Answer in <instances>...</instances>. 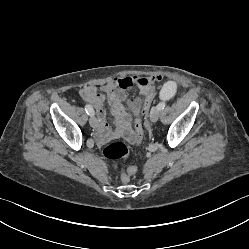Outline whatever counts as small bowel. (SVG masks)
Wrapping results in <instances>:
<instances>
[{"instance_id":"small-bowel-1","label":"small bowel","mask_w":249,"mask_h":249,"mask_svg":"<svg viewBox=\"0 0 249 249\" xmlns=\"http://www.w3.org/2000/svg\"><path fill=\"white\" fill-rule=\"evenodd\" d=\"M154 79H161L155 77ZM154 79L145 77H116L113 81L102 86L101 90L104 94H100L96 86H85L80 91L81 97L90 103L97 114V134L100 141H106L111 138L125 136L130 142H135V134L130 128V113L128 105L130 104L134 111L138 104L145 103L150 105L154 97ZM136 87L140 90V98L129 99L126 91ZM111 108V112L115 120V129L110 130L106 119L105 100Z\"/></svg>"}]
</instances>
